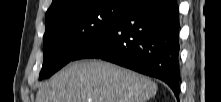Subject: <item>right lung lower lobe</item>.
<instances>
[{
	"label": "right lung lower lobe",
	"instance_id": "1",
	"mask_svg": "<svg viewBox=\"0 0 221 102\" xmlns=\"http://www.w3.org/2000/svg\"><path fill=\"white\" fill-rule=\"evenodd\" d=\"M179 31L175 0H138L74 60L103 59L158 78L179 98Z\"/></svg>",
	"mask_w": 221,
	"mask_h": 102
}]
</instances>
